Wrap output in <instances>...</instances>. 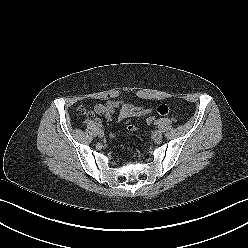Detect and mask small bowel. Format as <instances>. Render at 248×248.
Listing matches in <instances>:
<instances>
[{
    "instance_id": "obj_1",
    "label": "small bowel",
    "mask_w": 248,
    "mask_h": 248,
    "mask_svg": "<svg viewBox=\"0 0 248 248\" xmlns=\"http://www.w3.org/2000/svg\"><path fill=\"white\" fill-rule=\"evenodd\" d=\"M94 110L97 115L105 116L109 120L113 119L115 111L118 110L117 119L121 121L127 118L148 115L152 113L154 110L159 115L165 116L169 113L170 108L166 104H160L154 109V108L136 106L134 104H126L122 101L113 100V101H108L104 104H97L94 107ZM127 128L129 131L137 130V127L133 125H128Z\"/></svg>"
}]
</instances>
